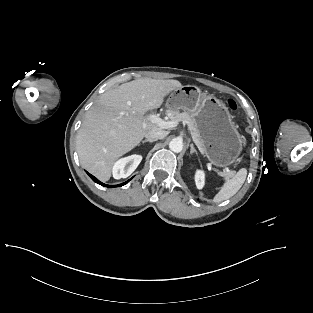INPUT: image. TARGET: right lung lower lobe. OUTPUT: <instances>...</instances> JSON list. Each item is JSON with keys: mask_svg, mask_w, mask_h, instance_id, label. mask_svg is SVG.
Listing matches in <instances>:
<instances>
[{"mask_svg": "<svg viewBox=\"0 0 313 313\" xmlns=\"http://www.w3.org/2000/svg\"><path fill=\"white\" fill-rule=\"evenodd\" d=\"M87 174L90 176V178H91L94 182H96V183H98V184H100V185H102V186L109 187V188L120 187V186H123V185H125L126 183H128V182L130 181V180H128V181H126V182H124V183H122V184H119V185H107V184H104V183L100 182L96 177H94L93 175L89 174L88 172H87Z\"/></svg>", "mask_w": 313, "mask_h": 313, "instance_id": "1", "label": "right lung lower lobe"}]
</instances>
